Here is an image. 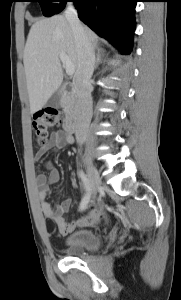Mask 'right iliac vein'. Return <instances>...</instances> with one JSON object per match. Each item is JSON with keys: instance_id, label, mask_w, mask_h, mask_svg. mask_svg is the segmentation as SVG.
Masks as SVG:
<instances>
[{"instance_id": "obj_1", "label": "right iliac vein", "mask_w": 181, "mask_h": 300, "mask_svg": "<svg viewBox=\"0 0 181 300\" xmlns=\"http://www.w3.org/2000/svg\"><path fill=\"white\" fill-rule=\"evenodd\" d=\"M84 163L87 168L88 179L91 188L90 193L91 196L94 198L97 193L98 187L101 185V178L95 165L91 161H89L87 158H84Z\"/></svg>"}]
</instances>
